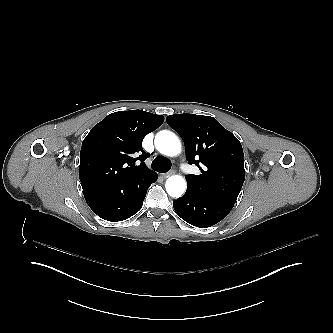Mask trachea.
I'll list each match as a JSON object with an SVG mask.
<instances>
[{
  "mask_svg": "<svg viewBox=\"0 0 333 333\" xmlns=\"http://www.w3.org/2000/svg\"><path fill=\"white\" fill-rule=\"evenodd\" d=\"M171 166L172 164L170 160L162 156L156 157L151 164L152 169L160 173L168 172L171 169Z\"/></svg>",
  "mask_w": 333,
  "mask_h": 333,
  "instance_id": "obj_1",
  "label": "trachea"
}]
</instances>
